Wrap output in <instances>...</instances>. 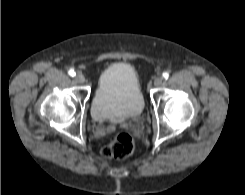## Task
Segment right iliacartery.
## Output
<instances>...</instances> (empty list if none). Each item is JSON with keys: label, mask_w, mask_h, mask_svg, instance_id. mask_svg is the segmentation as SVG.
I'll return each instance as SVG.
<instances>
[{"label": "right iliac artery", "mask_w": 245, "mask_h": 195, "mask_svg": "<svg viewBox=\"0 0 245 195\" xmlns=\"http://www.w3.org/2000/svg\"><path fill=\"white\" fill-rule=\"evenodd\" d=\"M68 74L73 77V76H75V71L73 69H70L68 71Z\"/></svg>", "instance_id": "obj_1"}]
</instances>
